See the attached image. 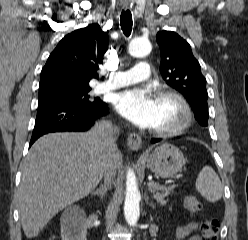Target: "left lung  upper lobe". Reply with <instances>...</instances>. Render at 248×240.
<instances>
[{
    "instance_id": "5c2ea615",
    "label": "left lung upper lobe",
    "mask_w": 248,
    "mask_h": 240,
    "mask_svg": "<svg viewBox=\"0 0 248 240\" xmlns=\"http://www.w3.org/2000/svg\"><path fill=\"white\" fill-rule=\"evenodd\" d=\"M156 40L160 47V71L163 79L183 94L198 123L207 126L209 114L206 79L201 73L200 64L193 56L190 45L172 31L158 32Z\"/></svg>"
}]
</instances>
